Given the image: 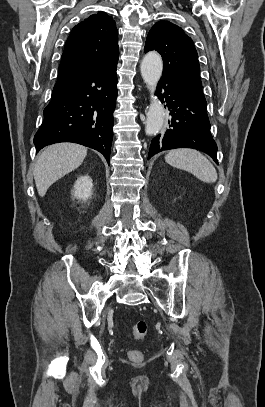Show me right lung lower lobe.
Instances as JSON below:
<instances>
[{
  "mask_svg": "<svg viewBox=\"0 0 265 407\" xmlns=\"http://www.w3.org/2000/svg\"><path fill=\"white\" fill-rule=\"evenodd\" d=\"M117 62L53 88L34 137L37 152L53 143L75 142L99 151L110 164Z\"/></svg>",
  "mask_w": 265,
  "mask_h": 407,
  "instance_id": "98d812e1",
  "label": "right lung lower lobe"
}]
</instances>
